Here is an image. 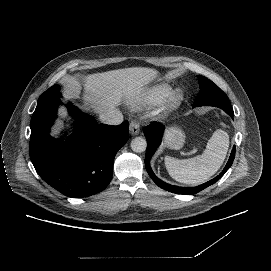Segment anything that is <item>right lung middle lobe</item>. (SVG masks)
I'll use <instances>...</instances> for the list:
<instances>
[{
  "label": "right lung middle lobe",
  "mask_w": 271,
  "mask_h": 271,
  "mask_svg": "<svg viewBox=\"0 0 271 271\" xmlns=\"http://www.w3.org/2000/svg\"><path fill=\"white\" fill-rule=\"evenodd\" d=\"M60 90V86L59 85H53L52 87H50L47 91H45L40 98H44V97H48L56 92H58Z\"/></svg>",
  "instance_id": "dd1d6c3e"
}]
</instances>
